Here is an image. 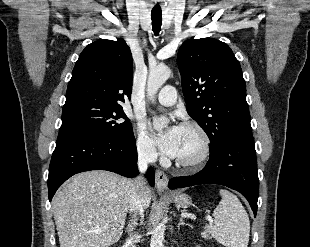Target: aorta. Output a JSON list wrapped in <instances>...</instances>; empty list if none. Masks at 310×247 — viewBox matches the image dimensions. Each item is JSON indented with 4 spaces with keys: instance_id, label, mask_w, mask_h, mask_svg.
<instances>
[{
    "instance_id": "aorta-1",
    "label": "aorta",
    "mask_w": 310,
    "mask_h": 247,
    "mask_svg": "<svg viewBox=\"0 0 310 247\" xmlns=\"http://www.w3.org/2000/svg\"><path fill=\"white\" fill-rule=\"evenodd\" d=\"M171 75V70L167 66H158L150 70L147 80V96L151 101H154L155 95L161 86L167 81ZM169 120L165 117L155 119L153 121L154 129L161 130L167 126ZM165 224L158 223L151 236L150 247H164Z\"/></svg>"
}]
</instances>
